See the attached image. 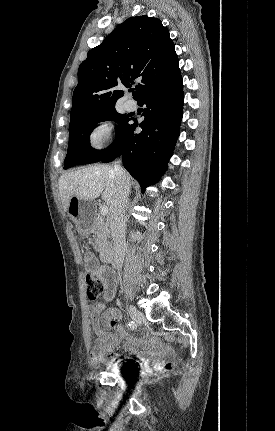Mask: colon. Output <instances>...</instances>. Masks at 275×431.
Returning a JSON list of instances; mask_svg holds the SVG:
<instances>
[{
  "instance_id": "colon-1",
  "label": "colon",
  "mask_w": 275,
  "mask_h": 431,
  "mask_svg": "<svg viewBox=\"0 0 275 431\" xmlns=\"http://www.w3.org/2000/svg\"><path fill=\"white\" fill-rule=\"evenodd\" d=\"M87 296L90 300H97L100 295L104 292V284L103 282L92 273H89L85 276Z\"/></svg>"
}]
</instances>
